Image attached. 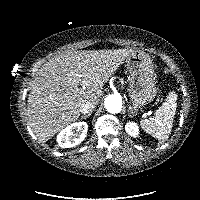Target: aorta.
Instances as JSON below:
<instances>
[{"instance_id": "762f6f07", "label": "aorta", "mask_w": 200, "mask_h": 200, "mask_svg": "<svg viewBox=\"0 0 200 200\" xmlns=\"http://www.w3.org/2000/svg\"><path fill=\"white\" fill-rule=\"evenodd\" d=\"M105 108L112 114L119 113L122 109V99L117 94H110L105 98Z\"/></svg>"}]
</instances>
